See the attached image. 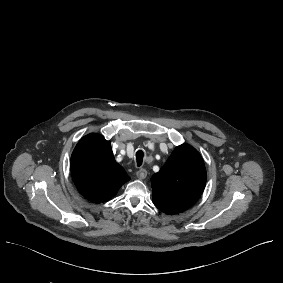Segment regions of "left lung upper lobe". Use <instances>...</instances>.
Wrapping results in <instances>:
<instances>
[{
    "instance_id": "1",
    "label": "left lung upper lobe",
    "mask_w": 283,
    "mask_h": 283,
    "mask_svg": "<svg viewBox=\"0 0 283 283\" xmlns=\"http://www.w3.org/2000/svg\"><path fill=\"white\" fill-rule=\"evenodd\" d=\"M154 205L166 214L191 207L206 184V170L200 154L190 145L178 146L160 171L151 178Z\"/></svg>"
}]
</instances>
